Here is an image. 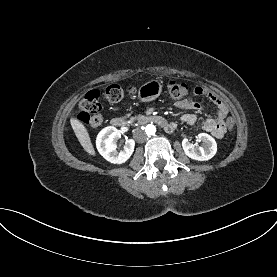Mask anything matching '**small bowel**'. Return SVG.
<instances>
[{
    "label": "small bowel",
    "mask_w": 277,
    "mask_h": 277,
    "mask_svg": "<svg viewBox=\"0 0 277 277\" xmlns=\"http://www.w3.org/2000/svg\"><path fill=\"white\" fill-rule=\"evenodd\" d=\"M196 96H203L209 99L216 107V118H206L202 121L201 127L211 133L216 138H222L227 132L225 128V118L228 116V108L226 104L213 92L210 90L197 87L194 90ZM176 106L182 110L187 111H199L201 110V105L193 100H185L177 102ZM181 121L188 125H194L196 122V116L192 113H186L182 115Z\"/></svg>",
    "instance_id": "1"
}]
</instances>
